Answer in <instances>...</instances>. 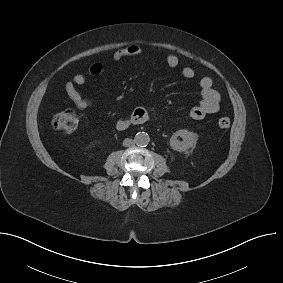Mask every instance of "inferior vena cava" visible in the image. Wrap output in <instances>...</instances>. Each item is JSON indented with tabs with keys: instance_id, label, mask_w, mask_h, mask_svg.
Returning <instances> with one entry per match:
<instances>
[{
	"instance_id": "602c4592",
	"label": "inferior vena cava",
	"mask_w": 283,
	"mask_h": 283,
	"mask_svg": "<svg viewBox=\"0 0 283 283\" xmlns=\"http://www.w3.org/2000/svg\"><path fill=\"white\" fill-rule=\"evenodd\" d=\"M134 144H135V141L133 139H130V138H126L123 141V146H125V147H130Z\"/></svg>"
}]
</instances>
